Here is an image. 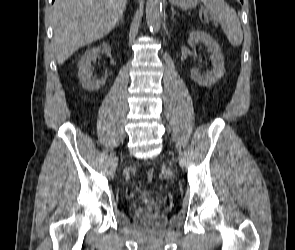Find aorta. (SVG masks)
<instances>
[{"instance_id":"762f6f07","label":"aorta","mask_w":295,"mask_h":250,"mask_svg":"<svg viewBox=\"0 0 295 250\" xmlns=\"http://www.w3.org/2000/svg\"><path fill=\"white\" fill-rule=\"evenodd\" d=\"M146 20L152 31H159L162 22V0H147Z\"/></svg>"}]
</instances>
